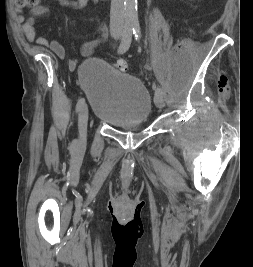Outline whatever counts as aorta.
Segmentation results:
<instances>
[{
	"label": "aorta",
	"mask_w": 253,
	"mask_h": 267,
	"mask_svg": "<svg viewBox=\"0 0 253 267\" xmlns=\"http://www.w3.org/2000/svg\"><path fill=\"white\" fill-rule=\"evenodd\" d=\"M125 26L139 28L137 0H125L124 2Z\"/></svg>",
	"instance_id": "obj_1"
}]
</instances>
